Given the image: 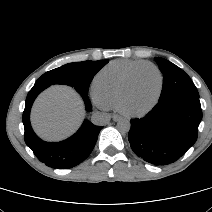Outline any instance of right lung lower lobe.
<instances>
[{
  "label": "right lung lower lobe",
  "instance_id": "obj_1",
  "mask_svg": "<svg viewBox=\"0 0 212 212\" xmlns=\"http://www.w3.org/2000/svg\"><path fill=\"white\" fill-rule=\"evenodd\" d=\"M47 87L49 86L44 84H34L27 95L23 112L24 139L35 156L45 165L57 169L72 168L89 156L103 127L85 120L80 129L65 141L59 143L42 141L33 132L29 116L35 98ZM79 93L85 102L86 110L90 112L92 106L88 94Z\"/></svg>",
  "mask_w": 212,
  "mask_h": 212
}]
</instances>
